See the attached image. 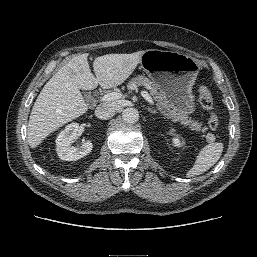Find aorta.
I'll use <instances>...</instances> for the list:
<instances>
[{"instance_id": "762f6f07", "label": "aorta", "mask_w": 257, "mask_h": 257, "mask_svg": "<svg viewBox=\"0 0 257 257\" xmlns=\"http://www.w3.org/2000/svg\"><path fill=\"white\" fill-rule=\"evenodd\" d=\"M122 119L125 123L134 124L139 120V112L135 108H126L122 112Z\"/></svg>"}]
</instances>
